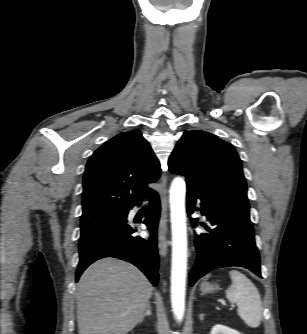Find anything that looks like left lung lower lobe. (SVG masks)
Wrapping results in <instances>:
<instances>
[{
  "mask_svg": "<svg viewBox=\"0 0 307 334\" xmlns=\"http://www.w3.org/2000/svg\"><path fill=\"white\" fill-rule=\"evenodd\" d=\"M197 199L201 200L197 210H201L214 228L206 227L207 233L196 234L197 259L190 273V285L213 269L231 266L248 268L262 278L250 207L187 187L189 215L193 213ZM191 221L196 226L197 219L191 218Z\"/></svg>",
  "mask_w": 307,
  "mask_h": 334,
  "instance_id": "0a47b994",
  "label": "left lung lower lobe"
}]
</instances>
